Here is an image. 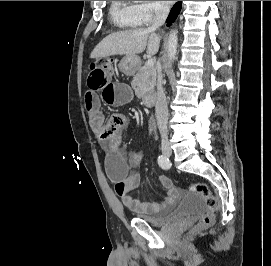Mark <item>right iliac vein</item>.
<instances>
[{
  "mask_svg": "<svg viewBox=\"0 0 271 266\" xmlns=\"http://www.w3.org/2000/svg\"><path fill=\"white\" fill-rule=\"evenodd\" d=\"M161 150L163 154L166 155L167 157H170L172 154V149L169 142H163L161 145Z\"/></svg>",
  "mask_w": 271,
  "mask_h": 266,
  "instance_id": "63e3f726",
  "label": "right iliac vein"
}]
</instances>
